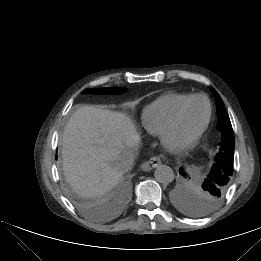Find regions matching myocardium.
<instances>
[{
  "label": "myocardium",
  "mask_w": 261,
  "mask_h": 261,
  "mask_svg": "<svg viewBox=\"0 0 261 261\" xmlns=\"http://www.w3.org/2000/svg\"><path fill=\"white\" fill-rule=\"evenodd\" d=\"M198 98L204 99L207 104V113H206V117H205L203 124L191 137H189L185 140H181V141L173 140L172 135L179 123L183 110L191 101L198 99ZM211 116H212V105H211L209 98L203 94L191 95L176 108L170 121L168 122V124L166 125V127L164 128V130L162 131V133L160 135L161 144L165 148H167L173 152H183V151L191 149L192 147H194L197 144V142L200 140V138L203 136V134L207 130L209 123L211 121Z\"/></svg>",
  "instance_id": "myocardium-1"
}]
</instances>
